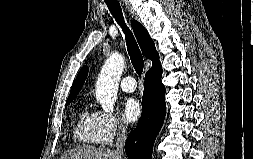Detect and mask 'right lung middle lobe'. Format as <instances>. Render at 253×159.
<instances>
[{
  "label": "right lung middle lobe",
  "instance_id": "dd1d6c3e",
  "mask_svg": "<svg viewBox=\"0 0 253 159\" xmlns=\"http://www.w3.org/2000/svg\"><path fill=\"white\" fill-rule=\"evenodd\" d=\"M72 100H73V99H72ZM72 100H67V101H66L65 107H67V105H69V104L72 102Z\"/></svg>",
  "mask_w": 253,
  "mask_h": 159
}]
</instances>
